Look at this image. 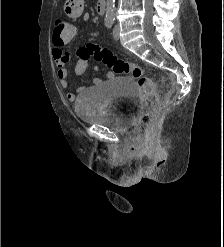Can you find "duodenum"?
Masks as SVG:
<instances>
[{
    "instance_id": "duodenum-1",
    "label": "duodenum",
    "mask_w": 224,
    "mask_h": 247,
    "mask_svg": "<svg viewBox=\"0 0 224 247\" xmlns=\"http://www.w3.org/2000/svg\"><path fill=\"white\" fill-rule=\"evenodd\" d=\"M107 0H97L96 11L98 14L103 15L106 11Z\"/></svg>"
}]
</instances>
